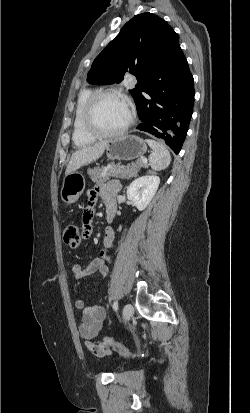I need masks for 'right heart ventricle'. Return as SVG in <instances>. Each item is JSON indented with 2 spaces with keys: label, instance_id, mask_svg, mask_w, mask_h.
Here are the masks:
<instances>
[{
  "label": "right heart ventricle",
  "instance_id": "right-heart-ventricle-1",
  "mask_svg": "<svg viewBox=\"0 0 250 413\" xmlns=\"http://www.w3.org/2000/svg\"><path fill=\"white\" fill-rule=\"evenodd\" d=\"M94 93L92 89H84L77 99L73 119L72 140L76 147H84L91 144L95 138L88 135L82 126V114L88 98Z\"/></svg>",
  "mask_w": 250,
  "mask_h": 413
}]
</instances>
